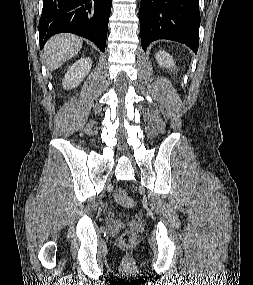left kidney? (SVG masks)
<instances>
[{"instance_id":"5707ae66","label":"left kidney","mask_w":253,"mask_h":285,"mask_svg":"<svg viewBox=\"0 0 253 285\" xmlns=\"http://www.w3.org/2000/svg\"><path fill=\"white\" fill-rule=\"evenodd\" d=\"M156 59L160 67L167 69L175 67L173 57L165 51H159L156 53Z\"/></svg>"}]
</instances>
